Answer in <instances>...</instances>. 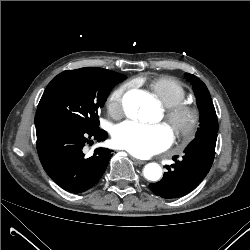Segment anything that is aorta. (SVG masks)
Masks as SVG:
<instances>
[{"label":"aorta","instance_id":"1","mask_svg":"<svg viewBox=\"0 0 250 250\" xmlns=\"http://www.w3.org/2000/svg\"><path fill=\"white\" fill-rule=\"evenodd\" d=\"M144 93L133 91L124 101V109L127 114L132 115L139 109L140 118L143 120L153 119V111L142 106ZM144 177L150 181H157L162 175V169L157 163H149L144 168Z\"/></svg>","mask_w":250,"mask_h":250}]
</instances>
